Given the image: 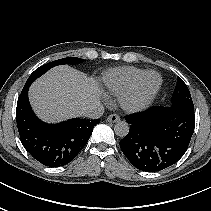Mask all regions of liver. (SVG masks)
I'll use <instances>...</instances> for the list:
<instances>
[{
  "label": "liver",
  "mask_w": 211,
  "mask_h": 211,
  "mask_svg": "<svg viewBox=\"0 0 211 211\" xmlns=\"http://www.w3.org/2000/svg\"><path fill=\"white\" fill-rule=\"evenodd\" d=\"M100 96L101 89L94 80L69 66L52 68L29 90L33 110L46 122L83 116Z\"/></svg>",
  "instance_id": "liver-1"
}]
</instances>
